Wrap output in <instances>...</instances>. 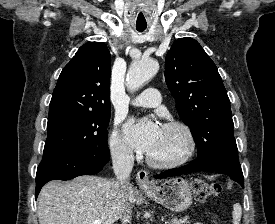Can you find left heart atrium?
Returning a JSON list of instances; mask_svg holds the SVG:
<instances>
[{
	"label": "left heart atrium",
	"mask_w": 275,
	"mask_h": 224,
	"mask_svg": "<svg viewBox=\"0 0 275 224\" xmlns=\"http://www.w3.org/2000/svg\"><path fill=\"white\" fill-rule=\"evenodd\" d=\"M162 127L153 119L127 123L125 128L129 145L138 152L150 153L156 146Z\"/></svg>",
	"instance_id": "1"
}]
</instances>
